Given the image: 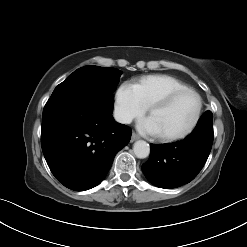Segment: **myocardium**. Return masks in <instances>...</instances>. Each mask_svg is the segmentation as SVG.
<instances>
[{"label": "myocardium", "mask_w": 247, "mask_h": 247, "mask_svg": "<svg viewBox=\"0 0 247 247\" xmlns=\"http://www.w3.org/2000/svg\"><path fill=\"white\" fill-rule=\"evenodd\" d=\"M187 93H191V94L195 95L198 99V108H197V112L195 114V117H194L192 123L190 124V126L186 130H184L183 132H181L179 134L172 135V136L158 135L160 140H162L164 142L180 141V140L188 137L199 125V123L201 121V117H202L204 101H203L201 94L193 88H185V89L175 90V91H171V92L165 94L160 99L155 101L148 108V114L150 115L152 113V111H154L156 109H164V108L168 107L177 97H179L183 94H187Z\"/></svg>", "instance_id": "myocardium-1"}]
</instances>
